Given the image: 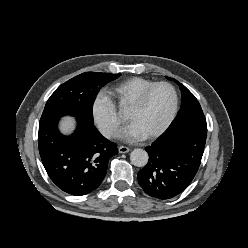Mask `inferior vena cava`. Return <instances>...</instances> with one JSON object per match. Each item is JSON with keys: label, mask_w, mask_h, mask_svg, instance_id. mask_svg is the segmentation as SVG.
<instances>
[{"label": "inferior vena cava", "mask_w": 248, "mask_h": 248, "mask_svg": "<svg viewBox=\"0 0 248 248\" xmlns=\"http://www.w3.org/2000/svg\"><path fill=\"white\" fill-rule=\"evenodd\" d=\"M105 134L107 137H112L116 135V132L114 130H107Z\"/></svg>", "instance_id": "602c4592"}]
</instances>
